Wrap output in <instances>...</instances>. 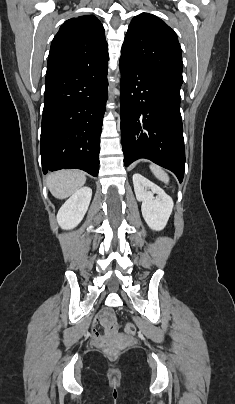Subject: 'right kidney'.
Returning a JSON list of instances; mask_svg holds the SVG:
<instances>
[{
	"mask_svg": "<svg viewBox=\"0 0 235 404\" xmlns=\"http://www.w3.org/2000/svg\"><path fill=\"white\" fill-rule=\"evenodd\" d=\"M91 197V188L82 187L62 205L57 214V221L62 229H72L82 221Z\"/></svg>",
	"mask_w": 235,
	"mask_h": 404,
	"instance_id": "1",
	"label": "right kidney"
}]
</instances>
